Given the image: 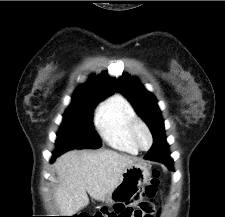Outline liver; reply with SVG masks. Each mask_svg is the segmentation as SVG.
Wrapping results in <instances>:
<instances>
[{
  "label": "liver",
  "mask_w": 225,
  "mask_h": 217,
  "mask_svg": "<svg viewBox=\"0 0 225 217\" xmlns=\"http://www.w3.org/2000/svg\"><path fill=\"white\" fill-rule=\"evenodd\" d=\"M137 161L113 150H72L55 164L59 184L55 201L61 216H72L89 204L87 193L105 201L116 189L123 170Z\"/></svg>",
  "instance_id": "liver-1"
}]
</instances>
